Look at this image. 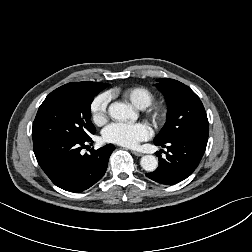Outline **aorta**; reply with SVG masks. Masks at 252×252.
<instances>
[{
	"label": "aorta",
	"instance_id": "1",
	"mask_svg": "<svg viewBox=\"0 0 252 252\" xmlns=\"http://www.w3.org/2000/svg\"><path fill=\"white\" fill-rule=\"evenodd\" d=\"M111 118L116 120H136L137 114L129 104L114 102L109 106L108 109ZM141 167L148 172L156 170L158 166V160L153 155H145L140 160Z\"/></svg>",
	"mask_w": 252,
	"mask_h": 252
}]
</instances>
